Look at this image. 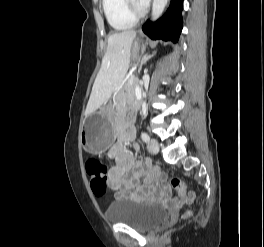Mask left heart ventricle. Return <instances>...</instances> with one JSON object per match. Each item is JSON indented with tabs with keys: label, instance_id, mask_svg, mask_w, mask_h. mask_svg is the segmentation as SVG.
Listing matches in <instances>:
<instances>
[{
	"label": "left heart ventricle",
	"instance_id": "obj_1",
	"mask_svg": "<svg viewBox=\"0 0 264 247\" xmlns=\"http://www.w3.org/2000/svg\"><path fill=\"white\" fill-rule=\"evenodd\" d=\"M136 1H137V0H135L136 5H137L138 7H142V6H140Z\"/></svg>",
	"mask_w": 264,
	"mask_h": 247
}]
</instances>
